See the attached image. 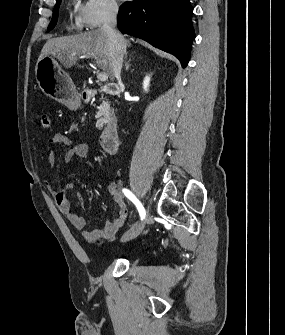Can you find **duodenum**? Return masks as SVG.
<instances>
[{
    "mask_svg": "<svg viewBox=\"0 0 285 335\" xmlns=\"http://www.w3.org/2000/svg\"><path fill=\"white\" fill-rule=\"evenodd\" d=\"M101 91L110 94L118 95L120 90L115 84H107L102 87ZM97 93V90L90 89L86 90L83 94L85 99H89ZM100 144L103 150L108 154H114L119 147V131H118V121L116 118H111L106 125L103 127L100 134Z\"/></svg>",
    "mask_w": 285,
    "mask_h": 335,
    "instance_id": "1",
    "label": "duodenum"
}]
</instances>
